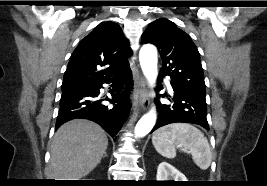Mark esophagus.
I'll return each instance as SVG.
<instances>
[{"label":"esophagus","instance_id":"obj_1","mask_svg":"<svg viewBox=\"0 0 267 186\" xmlns=\"http://www.w3.org/2000/svg\"><path fill=\"white\" fill-rule=\"evenodd\" d=\"M135 92H136V97H137V104L141 109H147L149 104H150V100L148 97V88H147V83L146 80L140 76L139 78V82L137 87L135 88Z\"/></svg>","mask_w":267,"mask_h":186}]
</instances>
